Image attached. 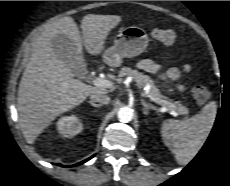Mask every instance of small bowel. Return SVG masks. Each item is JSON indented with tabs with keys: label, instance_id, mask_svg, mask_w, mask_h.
I'll list each match as a JSON object with an SVG mask.
<instances>
[{
	"label": "small bowel",
	"instance_id": "1",
	"mask_svg": "<svg viewBox=\"0 0 230 186\" xmlns=\"http://www.w3.org/2000/svg\"><path fill=\"white\" fill-rule=\"evenodd\" d=\"M138 67L146 72H150V73H156L159 71V65L151 60H142L138 63ZM190 71V65L186 64L183 66L182 69H178V68H170L169 70L166 71V73L164 74V78L171 80V81H175L179 75L183 72H189ZM177 88L182 90L183 86L181 84L177 85Z\"/></svg>",
	"mask_w": 230,
	"mask_h": 186
}]
</instances>
